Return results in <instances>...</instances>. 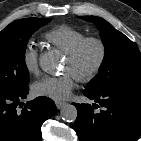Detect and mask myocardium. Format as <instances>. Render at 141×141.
Segmentation results:
<instances>
[{
  "label": "myocardium",
  "mask_w": 141,
  "mask_h": 141,
  "mask_svg": "<svg viewBox=\"0 0 141 141\" xmlns=\"http://www.w3.org/2000/svg\"><path fill=\"white\" fill-rule=\"evenodd\" d=\"M95 47L97 57L95 62L88 69L79 67L84 53L89 47ZM68 60L74 67V76L78 81L87 83L94 80L101 72L107 57V47L103 39L96 36H87L82 39L71 51L66 53Z\"/></svg>",
  "instance_id": "f54148a6"
}]
</instances>
